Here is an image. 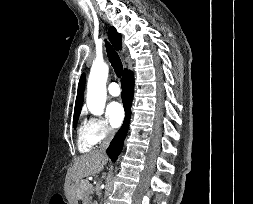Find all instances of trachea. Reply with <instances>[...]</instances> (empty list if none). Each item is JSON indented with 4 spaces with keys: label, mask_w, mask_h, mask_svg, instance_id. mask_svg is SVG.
<instances>
[{
    "label": "trachea",
    "mask_w": 253,
    "mask_h": 204,
    "mask_svg": "<svg viewBox=\"0 0 253 204\" xmlns=\"http://www.w3.org/2000/svg\"><path fill=\"white\" fill-rule=\"evenodd\" d=\"M105 46H106L107 55L109 57V61L112 65L116 75L118 77H121L122 71H123V65L120 60V57L118 56L116 51L112 48V46L108 42H106Z\"/></svg>",
    "instance_id": "3493384b"
}]
</instances>
